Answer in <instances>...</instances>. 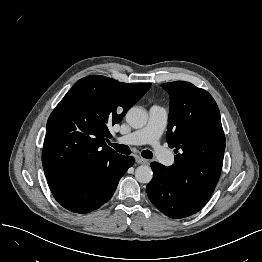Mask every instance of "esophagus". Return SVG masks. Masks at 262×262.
I'll return each mask as SVG.
<instances>
[{"instance_id":"esophagus-1","label":"esophagus","mask_w":262,"mask_h":262,"mask_svg":"<svg viewBox=\"0 0 262 262\" xmlns=\"http://www.w3.org/2000/svg\"><path fill=\"white\" fill-rule=\"evenodd\" d=\"M135 161L138 164H148V161L140 156H136Z\"/></svg>"}]
</instances>
